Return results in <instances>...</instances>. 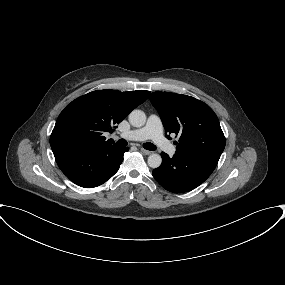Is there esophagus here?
<instances>
[{
	"instance_id": "1",
	"label": "esophagus",
	"mask_w": 285,
	"mask_h": 285,
	"mask_svg": "<svg viewBox=\"0 0 285 285\" xmlns=\"http://www.w3.org/2000/svg\"><path fill=\"white\" fill-rule=\"evenodd\" d=\"M140 151L144 154V155H150L152 152L146 149L141 148Z\"/></svg>"
}]
</instances>
